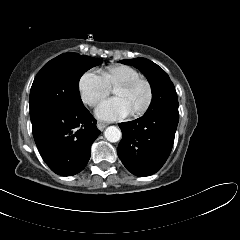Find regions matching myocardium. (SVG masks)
<instances>
[{"label":"myocardium","mask_w":240,"mask_h":240,"mask_svg":"<svg viewBox=\"0 0 240 240\" xmlns=\"http://www.w3.org/2000/svg\"><path fill=\"white\" fill-rule=\"evenodd\" d=\"M138 85H144L146 87L147 99H146L145 103L139 109L132 111V114L134 116H141V115L145 114L151 107L153 97H154L153 86H152L151 82L147 78L139 77L137 79L121 83L115 87V88L120 87V88H124V89H132Z\"/></svg>","instance_id":"obj_1"}]
</instances>
